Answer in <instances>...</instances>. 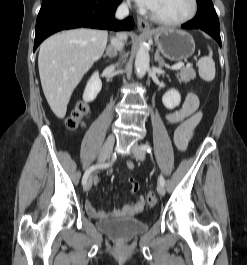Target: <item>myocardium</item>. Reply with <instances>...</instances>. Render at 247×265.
I'll return each instance as SVG.
<instances>
[{"label": "myocardium", "instance_id": "obj_1", "mask_svg": "<svg viewBox=\"0 0 247 265\" xmlns=\"http://www.w3.org/2000/svg\"><path fill=\"white\" fill-rule=\"evenodd\" d=\"M198 10H199V1L198 0H191L190 12L186 16H184L180 19H174V20L165 19V18L158 16L157 14L152 12L151 10L149 11V16L153 21H155L161 25L174 27V26H180V25H183V24L190 22L192 19L195 18V16L198 13Z\"/></svg>", "mask_w": 247, "mask_h": 265}]
</instances>
